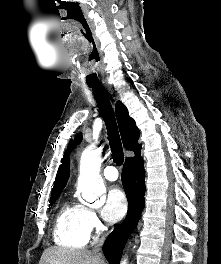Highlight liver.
Instances as JSON below:
<instances>
[{"instance_id":"obj_1","label":"liver","mask_w":221,"mask_h":264,"mask_svg":"<svg viewBox=\"0 0 221 264\" xmlns=\"http://www.w3.org/2000/svg\"><path fill=\"white\" fill-rule=\"evenodd\" d=\"M39 264H107L93 251L64 247H50L44 250Z\"/></svg>"}]
</instances>
